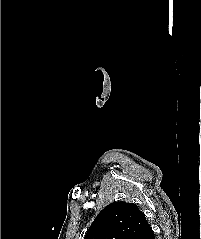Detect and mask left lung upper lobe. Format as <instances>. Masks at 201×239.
I'll return each mask as SVG.
<instances>
[{
    "instance_id": "1",
    "label": "left lung upper lobe",
    "mask_w": 201,
    "mask_h": 239,
    "mask_svg": "<svg viewBox=\"0 0 201 239\" xmlns=\"http://www.w3.org/2000/svg\"><path fill=\"white\" fill-rule=\"evenodd\" d=\"M150 230L136 204L117 201L97 215L84 239H146Z\"/></svg>"
}]
</instances>
